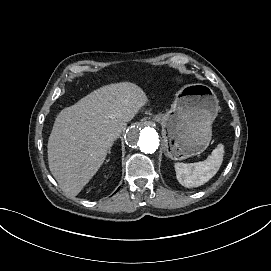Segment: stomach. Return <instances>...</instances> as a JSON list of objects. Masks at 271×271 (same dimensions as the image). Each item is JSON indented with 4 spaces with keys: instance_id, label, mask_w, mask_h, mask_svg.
Masks as SVG:
<instances>
[{
    "instance_id": "0dacf381",
    "label": "stomach",
    "mask_w": 271,
    "mask_h": 271,
    "mask_svg": "<svg viewBox=\"0 0 271 271\" xmlns=\"http://www.w3.org/2000/svg\"><path fill=\"white\" fill-rule=\"evenodd\" d=\"M218 111L217 96L209 86L191 84L179 90L171 109L154 116L162 126L165 155L183 160L202 153L211 141L212 123Z\"/></svg>"
}]
</instances>
